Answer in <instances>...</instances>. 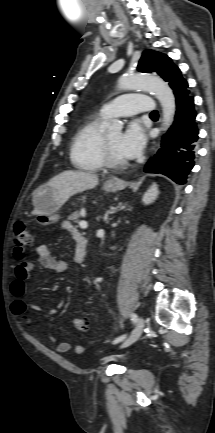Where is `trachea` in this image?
I'll return each instance as SVG.
<instances>
[{
    "mask_svg": "<svg viewBox=\"0 0 215 433\" xmlns=\"http://www.w3.org/2000/svg\"><path fill=\"white\" fill-rule=\"evenodd\" d=\"M150 115H158L157 111L152 112Z\"/></svg>",
    "mask_w": 215,
    "mask_h": 433,
    "instance_id": "1",
    "label": "trachea"
}]
</instances>
